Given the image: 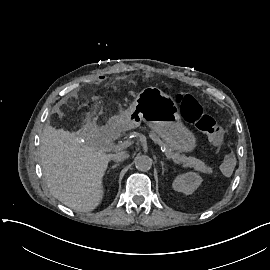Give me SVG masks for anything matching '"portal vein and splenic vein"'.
<instances>
[{
	"mask_svg": "<svg viewBox=\"0 0 270 270\" xmlns=\"http://www.w3.org/2000/svg\"><path fill=\"white\" fill-rule=\"evenodd\" d=\"M131 146L130 140H125L124 142H120L119 144H116L114 148L112 149V152L119 151L120 149H125L126 147ZM172 161L175 165L180 164L179 160H176L175 157H172Z\"/></svg>",
	"mask_w": 270,
	"mask_h": 270,
	"instance_id": "1",
	"label": "portal vein and splenic vein"
}]
</instances>
